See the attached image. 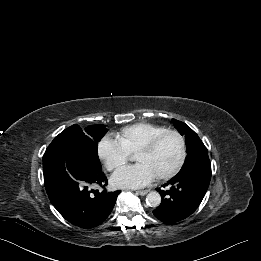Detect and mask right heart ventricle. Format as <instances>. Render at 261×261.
<instances>
[{
  "mask_svg": "<svg viewBox=\"0 0 261 261\" xmlns=\"http://www.w3.org/2000/svg\"><path fill=\"white\" fill-rule=\"evenodd\" d=\"M167 130L166 127L141 122L122 128L115 137L128 152H136L157 134Z\"/></svg>",
  "mask_w": 261,
  "mask_h": 261,
  "instance_id": "obj_1",
  "label": "right heart ventricle"
}]
</instances>
